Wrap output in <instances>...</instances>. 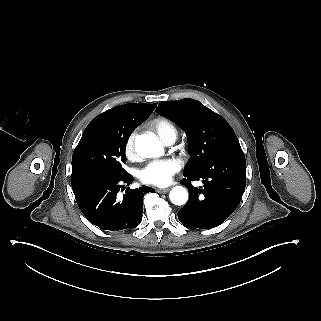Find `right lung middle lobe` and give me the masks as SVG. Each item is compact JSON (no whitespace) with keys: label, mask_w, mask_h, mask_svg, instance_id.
<instances>
[{"label":"right lung middle lobe","mask_w":321,"mask_h":321,"mask_svg":"<svg viewBox=\"0 0 321 321\" xmlns=\"http://www.w3.org/2000/svg\"><path fill=\"white\" fill-rule=\"evenodd\" d=\"M137 125L119 124L100 114L84 130L72 156V168H96L125 174L126 143Z\"/></svg>","instance_id":"right-lung-middle-lobe-1"}]
</instances>
